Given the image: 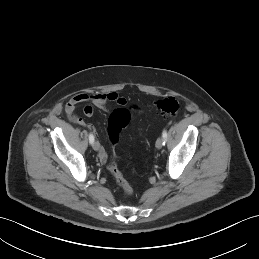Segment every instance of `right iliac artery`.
Returning <instances> with one entry per match:
<instances>
[{
  "label": "right iliac artery",
  "instance_id": "1",
  "mask_svg": "<svg viewBox=\"0 0 259 259\" xmlns=\"http://www.w3.org/2000/svg\"><path fill=\"white\" fill-rule=\"evenodd\" d=\"M89 141H90L91 144H93V142H94V136L91 133L89 135Z\"/></svg>",
  "mask_w": 259,
  "mask_h": 259
}]
</instances>
